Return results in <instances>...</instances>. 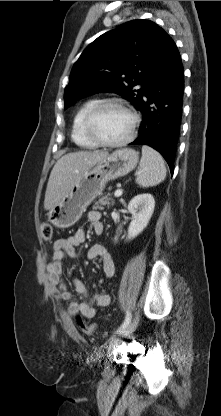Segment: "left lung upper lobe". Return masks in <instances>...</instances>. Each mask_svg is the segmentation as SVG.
<instances>
[{"label":"left lung upper lobe","instance_id":"obj_1","mask_svg":"<svg viewBox=\"0 0 221 416\" xmlns=\"http://www.w3.org/2000/svg\"><path fill=\"white\" fill-rule=\"evenodd\" d=\"M166 36L161 27L144 19L99 36L73 66L64 108L98 92L117 93L138 108ZM138 84L142 87L135 89Z\"/></svg>","mask_w":221,"mask_h":416}]
</instances>
